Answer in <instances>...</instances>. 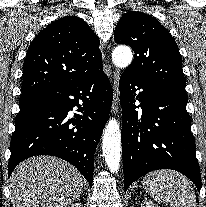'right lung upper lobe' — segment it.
Listing matches in <instances>:
<instances>
[{
    "mask_svg": "<svg viewBox=\"0 0 206 207\" xmlns=\"http://www.w3.org/2000/svg\"><path fill=\"white\" fill-rule=\"evenodd\" d=\"M99 44L79 17L66 16L48 25L28 48L21 97L69 86L102 71Z\"/></svg>",
    "mask_w": 206,
    "mask_h": 207,
    "instance_id": "obj_1",
    "label": "right lung upper lobe"
}]
</instances>
